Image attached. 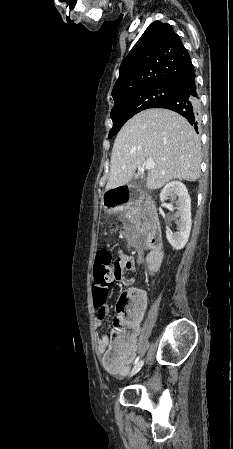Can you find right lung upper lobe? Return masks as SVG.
Wrapping results in <instances>:
<instances>
[{"mask_svg":"<svg viewBox=\"0 0 233 449\" xmlns=\"http://www.w3.org/2000/svg\"><path fill=\"white\" fill-rule=\"evenodd\" d=\"M194 68L180 37L168 23H151L123 60L112 97L190 77Z\"/></svg>","mask_w":233,"mask_h":449,"instance_id":"obj_1","label":"right lung upper lobe"}]
</instances>
